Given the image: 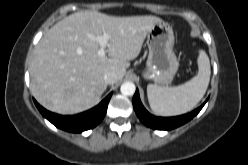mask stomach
I'll return each mask as SVG.
<instances>
[{
  "label": "stomach",
  "instance_id": "0dacf381",
  "mask_svg": "<svg viewBox=\"0 0 248 165\" xmlns=\"http://www.w3.org/2000/svg\"><path fill=\"white\" fill-rule=\"evenodd\" d=\"M149 55L143 78L156 84H170L178 70L179 63L173 51L174 33L166 22L155 24L147 34Z\"/></svg>",
  "mask_w": 248,
  "mask_h": 165
}]
</instances>
